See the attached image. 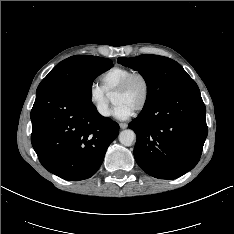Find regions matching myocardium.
Returning a JSON list of instances; mask_svg holds the SVG:
<instances>
[{"label": "myocardium", "instance_id": "myocardium-1", "mask_svg": "<svg viewBox=\"0 0 234 234\" xmlns=\"http://www.w3.org/2000/svg\"><path fill=\"white\" fill-rule=\"evenodd\" d=\"M136 79H140L144 84V97L140 105L134 111L135 114L142 112L149 103L150 96H151V85H150L148 78L140 72H134L131 75H129L114 91V94L124 93L125 91L129 89L131 84Z\"/></svg>", "mask_w": 234, "mask_h": 234}]
</instances>
